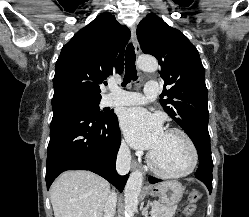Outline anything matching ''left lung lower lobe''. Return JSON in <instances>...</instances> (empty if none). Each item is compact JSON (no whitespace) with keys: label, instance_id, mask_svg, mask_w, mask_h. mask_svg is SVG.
Masks as SVG:
<instances>
[{"label":"left lung lower lobe","instance_id":"left-lung-lower-lobe-1","mask_svg":"<svg viewBox=\"0 0 249 217\" xmlns=\"http://www.w3.org/2000/svg\"><path fill=\"white\" fill-rule=\"evenodd\" d=\"M194 145L199 156V167L195 173V177L202 181L211 193L213 162L211 157L210 136L201 132ZM160 181V179L149 177V182L152 184Z\"/></svg>","mask_w":249,"mask_h":217}]
</instances>
